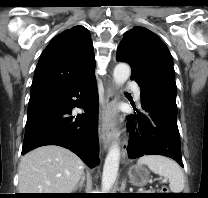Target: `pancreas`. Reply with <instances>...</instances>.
Wrapping results in <instances>:
<instances>
[{"label": "pancreas", "mask_w": 208, "mask_h": 198, "mask_svg": "<svg viewBox=\"0 0 208 198\" xmlns=\"http://www.w3.org/2000/svg\"><path fill=\"white\" fill-rule=\"evenodd\" d=\"M148 193H150V192H154V191H147Z\"/></svg>", "instance_id": "pancreas-1"}]
</instances>
